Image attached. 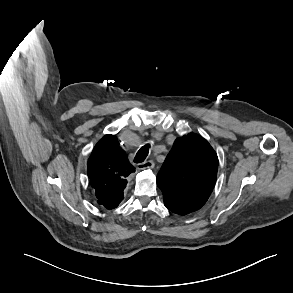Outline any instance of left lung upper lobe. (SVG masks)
I'll list each match as a JSON object with an SVG mask.
<instances>
[{
	"instance_id": "1",
	"label": "left lung upper lobe",
	"mask_w": 293,
	"mask_h": 293,
	"mask_svg": "<svg viewBox=\"0 0 293 293\" xmlns=\"http://www.w3.org/2000/svg\"><path fill=\"white\" fill-rule=\"evenodd\" d=\"M218 157L201 136L190 133L177 139L157 176L164 202L189 213L208 200L217 177Z\"/></svg>"
}]
</instances>
